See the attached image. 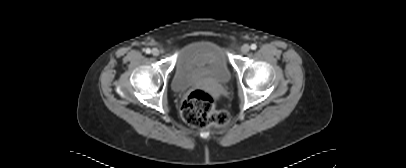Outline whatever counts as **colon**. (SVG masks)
Returning <instances> with one entry per match:
<instances>
[{"mask_svg":"<svg viewBox=\"0 0 406 168\" xmlns=\"http://www.w3.org/2000/svg\"><path fill=\"white\" fill-rule=\"evenodd\" d=\"M181 114L185 122L197 128L226 126L231 119L227 111L215 109L214 95L203 89H196L186 96Z\"/></svg>","mask_w":406,"mask_h":168,"instance_id":"obj_1","label":"colon"}]
</instances>
